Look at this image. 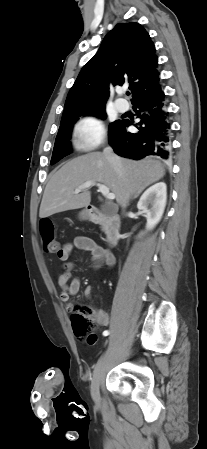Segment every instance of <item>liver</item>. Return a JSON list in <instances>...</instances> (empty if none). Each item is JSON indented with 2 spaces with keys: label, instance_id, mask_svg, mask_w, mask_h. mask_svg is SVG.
<instances>
[{
  "label": "liver",
  "instance_id": "1",
  "mask_svg": "<svg viewBox=\"0 0 207 449\" xmlns=\"http://www.w3.org/2000/svg\"><path fill=\"white\" fill-rule=\"evenodd\" d=\"M124 178H120L103 153L93 152L74 158L64 164L50 178L44 190L39 217L86 207L91 193L84 189L74 194L76 188L87 181H98L106 185L115 195L119 205H124L134 194L160 180L165 170L152 158L140 161L120 158Z\"/></svg>",
  "mask_w": 207,
  "mask_h": 449
}]
</instances>
